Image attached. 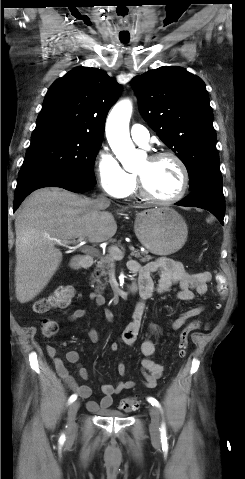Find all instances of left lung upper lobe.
Here are the masks:
<instances>
[{"instance_id":"1","label":"left lung upper lobe","mask_w":245,"mask_h":479,"mask_svg":"<svg viewBox=\"0 0 245 479\" xmlns=\"http://www.w3.org/2000/svg\"><path fill=\"white\" fill-rule=\"evenodd\" d=\"M139 109L187 168L190 186L220 174L213 112L204 82L184 68L164 66L132 80Z\"/></svg>"}]
</instances>
